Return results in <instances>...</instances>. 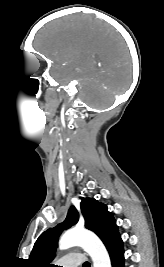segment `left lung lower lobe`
Segmentation results:
<instances>
[{"instance_id": "1", "label": "left lung lower lobe", "mask_w": 164, "mask_h": 267, "mask_svg": "<svg viewBox=\"0 0 164 267\" xmlns=\"http://www.w3.org/2000/svg\"><path fill=\"white\" fill-rule=\"evenodd\" d=\"M103 243L109 252L112 267H124L123 241L118 228Z\"/></svg>"}]
</instances>
